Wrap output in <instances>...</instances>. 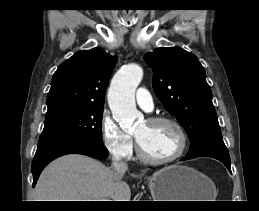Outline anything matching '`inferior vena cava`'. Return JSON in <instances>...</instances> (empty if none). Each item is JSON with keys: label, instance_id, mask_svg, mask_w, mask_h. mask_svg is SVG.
<instances>
[{"label": "inferior vena cava", "instance_id": "inferior-vena-cava-1", "mask_svg": "<svg viewBox=\"0 0 259 211\" xmlns=\"http://www.w3.org/2000/svg\"><path fill=\"white\" fill-rule=\"evenodd\" d=\"M112 168L116 174L123 176L128 170V164L126 161L122 160L119 156H113L112 158Z\"/></svg>", "mask_w": 259, "mask_h": 211}]
</instances>
